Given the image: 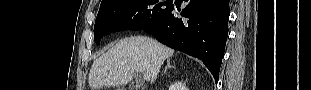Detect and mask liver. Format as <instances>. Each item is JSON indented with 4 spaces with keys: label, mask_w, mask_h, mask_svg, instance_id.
I'll list each match as a JSON object with an SVG mask.
<instances>
[{
    "label": "liver",
    "mask_w": 311,
    "mask_h": 90,
    "mask_svg": "<svg viewBox=\"0 0 311 90\" xmlns=\"http://www.w3.org/2000/svg\"><path fill=\"white\" fill-rule=\"evenodd\" d=\"M173 54V49L149 37L123 38L93 62L88 79L90 88L126 85L136 72L150 74L151 82H155L161 65Z\"/></svg>",
    "instance_id": "6515ba94"
}]
</instances>
